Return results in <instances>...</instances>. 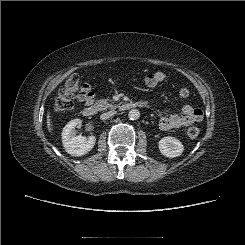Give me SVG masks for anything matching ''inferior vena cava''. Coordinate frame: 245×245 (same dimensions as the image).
<instances>
[{
	"label": "inferior vena cava",
	"instance_id": "602c4592",
	"mask_svg": "<svg viewBox=\"0 0 245 245\" xmlns=\"http://www.w3.org/2000/svg\"><path fill=\"white\" fill-rule=\"evenodd\" d=\"M115 114H116V111L115 110L108 111V112H105V113L101 114L100 118L102 120H106V119H108L109 117H111V116H113Z\"/></svg>",
	"mask_w": 245,
	"mask_h": 245
}]
</instances>
